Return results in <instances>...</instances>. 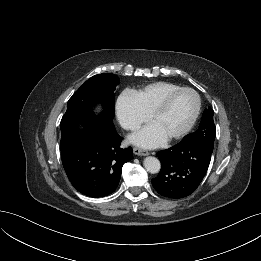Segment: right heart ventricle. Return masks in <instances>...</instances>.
I'll return each instance as SVG.
<instances>
[{
	"label": "right heart ventricle",
	"mask_w": 261,
	"mask_h": 261,
	"mask_svg": "<svg viewBox=\"0 0 261 261\" xmlns=\"http://www.w3.org/2000/svg\"><path fill=\"white\" fill-rule=\"evenodd\" d=\"M179 88L181 86L176 83L157 81L134 91L133 94L143 112L150 116L167 94Z\"/></svg>",
	"instance_id": "e07e8e85"
}]
</instances>
